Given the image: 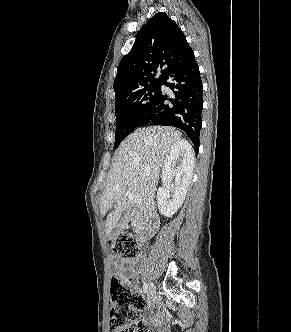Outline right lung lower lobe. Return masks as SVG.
<instances>
[{
  "label": "right lung lower lobe",
  "instance_id": "1",
  "mask_svg": "<svg viewBox=\"0 0 291 332\" xmlns=\"http://www.w3.org/2000/svg\"><path fill=\"white\" fill-rule=\"evenodd\" d=\"M162 85L173 90L174 99L161 91L139 127L153 123L180 128L187 133L198 153L203 87L195 57L171 71Z\"/></svg>",
  "mask_w": 291,
  "mask_h": 332
}]
</instances>
